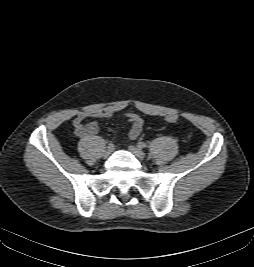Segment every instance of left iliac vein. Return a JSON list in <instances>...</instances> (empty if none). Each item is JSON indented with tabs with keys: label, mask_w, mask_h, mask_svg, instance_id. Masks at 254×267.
<instances>
[{
	"label": "left iliac vein",
	"mask_w": 254,
	"mask_h": 267,
	"mask_svg": "<svg viewBox=\"0 0 254 267\" xmlns=\"http://www.w3.org/2000/svg\"><path fill=\"white\" fill-rule=\"evenodd\" d=\"M129 150L138 159L143 160L145 158V153L136 146L130 145Z\"/></svg>",
	"instance_id": "left-iliac-vein-1"
}]
</instances>
